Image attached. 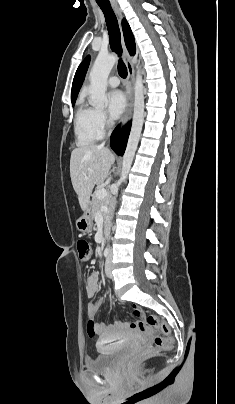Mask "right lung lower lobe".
Here are the masks:
<instances>
[{"label": "right lung lower lobe", "mask_w": 235, "mask_h": 404, "mask_svg": "<svg viewBox=\"0 0 235 404\" xmlns=\"http://www.w3.org/2000/svg\"><path fill=\"white\" fill-rule=\"evenodd\" d=\"M130 131V123L120 130V125L116 127L111 135V147L117 155L124 154L128 136Z\"/></svg>", "instance_id": "1"}]
</instances>
